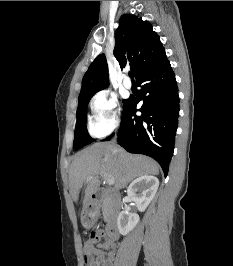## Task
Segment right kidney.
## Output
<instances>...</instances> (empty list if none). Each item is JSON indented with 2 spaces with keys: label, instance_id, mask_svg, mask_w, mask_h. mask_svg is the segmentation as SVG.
<instances>
[{
  "label": "right kidney",
  "instance_id": "right-kidney-1",
  "mask_svg": "<svg viewBox=\"0 0 233 266\" xmlns=\"http://www.w3.org/2000/svg\"><path fill=\"white\" fill-rule=\"evenodd\" d=\"M159 186V180L152 175H144L135 179L128 187L127 193L132 201L135 202L140 212L145 211ZM139 216L136 213H130L129 210L122 211L117 219L119 232L127 235L139 222Z\"/></svg>",
  "mask_w": 233,
  "mask_h": 266
}]
</instances>
